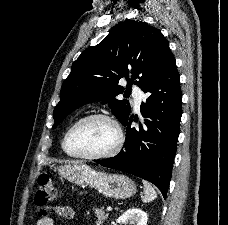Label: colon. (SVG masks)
Returning a JSON list of instances; mask_svg holds the SVG:
<instances>
[{"mask_svg": "<svg viewBox=\"0 0 228 225\" xmlns=\"http://www.w3.org/2000/svg\"><path fill=\"white\" fill-rule=\"evenodd\" d=\"M56 194V185L54 181L47 175L42 174L38 180V189L35 194V203L37 205H45L49 199Z\"/></svg>", "mask_w": 228, "mask_h": 225, "instance_id": "5ec220e1", "label": "colon"}]
</instances>
